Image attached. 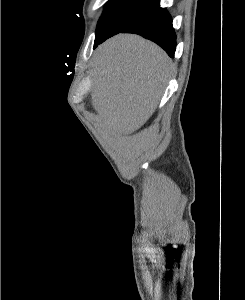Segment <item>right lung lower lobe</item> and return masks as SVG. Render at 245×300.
<instances>
[{"label":"right lung lower lobe","instance_id":"right-lung-lower-lobe-1","mask_svg":"<svg viewBox=\"0 0 245 300\" xmlns=\"http://www.w3.org/2000/svg\"><path fill=\"white\" fill-rule=\"evenodd\" d=\"M121 33L139 34L144 38L157 43L170 57H173L174 55L176 34L172 26V18L165 8H155L146 16L122 30ZM111 36L113 35L95 41L94 46H97Z\"/></svg>","mask_w":245,"mask_h":300}]
</instances>
